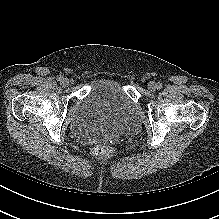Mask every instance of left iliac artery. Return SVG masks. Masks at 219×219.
<instances>
[{"label":"left iliac artery","instance_id":"left-iliac-artery-1","mask_svg":"<svg viewBox=\"0 0 219 219\" xmlns=\"http://www.w3.org/2000/svg\"><path fill=\"white\" fill-rule=\"evenodd\" d=\"M162 88V83L158 82L157 83V89H161Z\"/></svg>","mask_w":219,"mask_h":219}]
</instances>
